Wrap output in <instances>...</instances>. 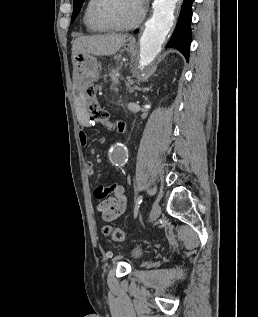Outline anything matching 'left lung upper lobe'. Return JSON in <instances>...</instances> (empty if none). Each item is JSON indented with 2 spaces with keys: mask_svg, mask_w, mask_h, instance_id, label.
I'll return each mask as SVG.
<instances>
[{
  "mask_svg": "<svg viewBox=\"0 0 258 317\" xmlns=\"http://www.w3.org/2000/svg\"><path fill=\"white\" fill-rule=\"evenodd\" d=\"M85 0H73V14H72V21L76 18V16L78 15L81 7H82V3Z\"/></svg>",
  "mask_w": 258,
  "mask_h": 317,
  "instance_id": "left-lung-upper-lobe-1",
  "label": "left lung upper lobe"
}]
</instances>
